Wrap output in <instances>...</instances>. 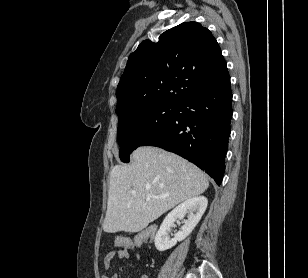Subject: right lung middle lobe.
I'll use <instances>...</instances> for the list:
<instances>
[{
    "label": "right lung middle lobe",
    "instance_id": "right-lung-middle-lobe-1",
    "mask_svg": "<svg viewBox=\"0 0 308 278\" xmlns=\"http://www.w3.org/2000/svg\"><path fill=\"white\" fill-rule=\"evenodd\" d=\"M178 105L157 104L137 110L118 123L119 156L123 162L146 139L159 132L174 120Z\"/></svg>",
    "mask_w": 308,
    "mask_h": 278
}]
</instances>
